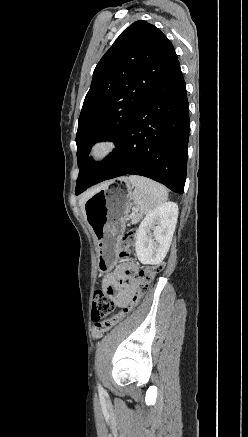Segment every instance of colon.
<instances>
[{
  "label": "colon",
  "instance_id": "5ec220e1",
  "mask_svg": "<svg viewBox=\"0 0 248 437\" xmlns=\"http://www.w3.org/2000/svg\"><path fill=\"white\" fill-rule=\"evenodd\" d=\"M135 244V234L133 231L126 232L118 247L120 258L129 255ZM164 269V264L159 263L153 266H147L139 271L138 284L136 293L131 302L122 311L112 314L114 302L104 290H96L93 297L91 318L94 322L93 335L95 338H101L112 327L118 324L131 310L136 306L142 296L147 292L156 275Z\"/></svg>",
  "mask_w": 248,
  "mask_h": 437
}]
</instances>
